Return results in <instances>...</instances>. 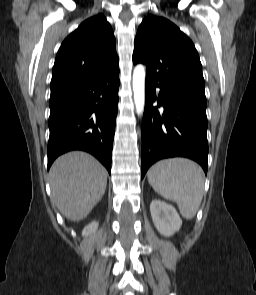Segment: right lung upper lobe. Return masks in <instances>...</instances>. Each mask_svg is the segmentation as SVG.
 <instances>
[{
    "label": "right lung upper lobe",
    "instance_id": "right-lung-upper-lobe-1",
    "mask_svg": "<svg viewBox=\"0 0 256 295\" xmlns=\"http://www.w3.org/2000/svg\"><path fill=\"white\" fill-rule=\"evenodd\" d=\"M119 69L113 30L103 14L84 21L61 44L51 90Z\"/></svg>",
    "mask_w": 256,
    "mask_h": 295
}]
</instances>
